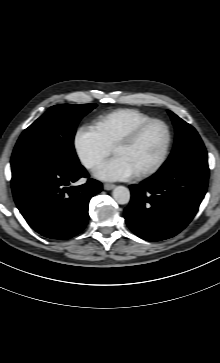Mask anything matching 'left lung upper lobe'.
Wrapping results in <instances>:
<instances>
[{
  "instance_id": "1",
  "label": "left lung upper lobe",
  "mask_w": 220,
  "mask_h": 363,
  "mask_svg": "<svg viewBox=\"0 0 220 363\" xmlns=\"http://www.w3.org/2000/svg\"><path fill=\"white\" fill-rule=\"evenodd\" d=\"M176 130L174 148L164 164L172 163L189 154H207L197 131L173 112L168 111Z\"/></svg>"
}]
</instances>
